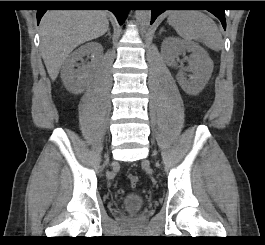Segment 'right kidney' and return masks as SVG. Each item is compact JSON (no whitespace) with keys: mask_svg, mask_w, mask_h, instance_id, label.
Here are the masks:
<instances>
[{"mask_svg":"<svg viewBox=\"0 0 265 245\" xmlns=\"http://www.w3.org/2000/svg\"><path fill=\"white\" fill-rule=\"evenodd\" d=\"M91 56V61L75 69L76 63L84 56ZM103 56V47L98 42H89L72 54L63 63L61 78L66 89L74 94L82 93L89 81V78L97 71Z\"/></svg>","mask_w":265,"mask_h":245,"instance_id":"obj_1","label":"right kidney"}]
</instances>
